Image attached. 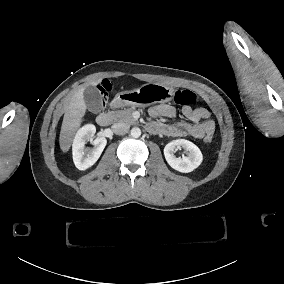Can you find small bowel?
Listing matches in <instances>:
<instances>
[{
	"label": "small bowel",
	"instance_id": "obj_1",
	"mask_svg": "<svg viewBox=\"0 0 284 284\" xmlns=\"http://www.w3.org/2000/svg\"><path fill=\"white\" fill-rule=\"evenodd\" d=\"M149 116L157 120L161 117L174 118L177 114L176 109L168 104L154 105L148 110ZM183 116L189 120L178 121L172 124H165L159 121H152L149 124L151 131H160L166 136L170 137H193L196 139H205L212 136L215 131V123L210 119V113L203 107H183Z\"/></svg>",
	"mask_w": 284,
	"mask_h": 284
}]
</instances>
